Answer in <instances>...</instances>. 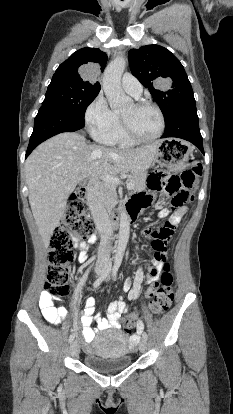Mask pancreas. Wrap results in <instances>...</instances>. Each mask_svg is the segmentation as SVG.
<instances>
[{
    "instance_id": "pancreas-1",
    "label": "pancreas",
    "mask_w": 233,
    "mask_h": 414,
    "mask_svg": "<svg viewBox=\"0 0 233 414\" xmlns=\"http://www.w3.org/2000/svg\"><path fill=\"white\" fill-rule=\"evenodd\" d=\"M128 182L134 185L132 189L133 191L141 190L145 187V174L131 173L128 177ZM104 200L109 208L113 207L117 203L115 185L106 184L104 189Z\"/></svg>"
}]
</instances>
